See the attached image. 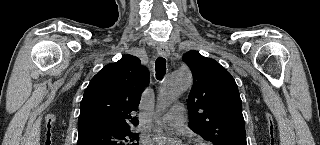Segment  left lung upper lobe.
Segmentation results:
<instances>
[{"mask_svg": "<svg viewBox=\"0 0 320 145\" xmlns=\"http://www.w3.org/2000/svg\"><path fill=\"white\" fill-rule=\"evenodd\" d=\"M183 59L194 79L187 103L190 128L214 145H247L241 98L231 74L195 50Z\"/></svg>", "mask_w": 320, "mask_h": 145, "instance_id": "obj_1", "label": "left lung upper lobe"}]
</instances>
